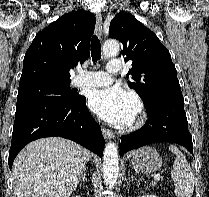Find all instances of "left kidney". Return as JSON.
I'll return each mask as SVG.
<instances>
[{
  "mask_svg": "<svg viewBox=\"0 0 209 197\" xmlns=\"http://www.w3.org/2000/svg\"><path fill=\"white\" fill-rule=\"evenodd\" d=\"M140 197H158L156 195H143V196H140Z\"/></svg>",
  "mask_w": 209,
  "mask_h": 197,
  "instance_id": "obj_1",
  "label": "left kidney"
}]
</instances>
